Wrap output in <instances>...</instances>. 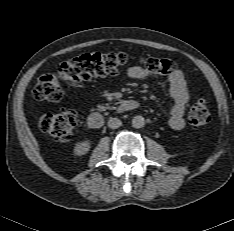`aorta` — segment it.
<instances>
[{"label": "aorta", "mask_w": 234, "mask_h": 231, "mask_svg": "<svg viewBox=\"0 0 234 231\" xmlns=\"http://www.w3.org/2000/svg\"><path fill=\"white\" fill-rule=\"evenodd\" d=\"M145 125V120L142 116H135L132 119V126L136 129H140L144 127Z\"/></svg>", "instance_id": "obj_1"}]
</instances>
